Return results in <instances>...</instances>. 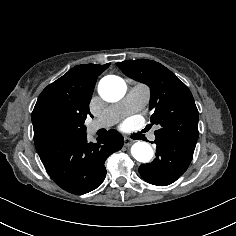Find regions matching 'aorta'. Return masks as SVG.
I'll use <instances>...</instances> for the list:
<instances>
[{
    "label": "aorta",
    "mask_w": 236,
    "mask_h": 236,
    "mask_svg": "<svg viewBox=\"0 0 236 236\" xmlns=\"http://www.w3.org/2000/svg\"><path fill=\"white\" fill-rule=\"evenodd\" d=\"M98 92L107 102H116L122 99L126 93L124 80L115 75L102 78L98 85ZM132 156L139 162L148 163L153 157V149L146 142H136L131 147Z\"/></svg>",
    "instance_id": "obj_1"
}]
</instances>
